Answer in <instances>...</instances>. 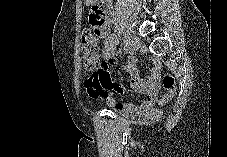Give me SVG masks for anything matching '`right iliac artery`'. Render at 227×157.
I'll return each instance as SVG.
<instances>
[{
	"mask_svg": "<svg viewBox=\"0 0 227 157\" xmlns=\"http://www.w3.org/2000/svg\"><path fill=\"white\" fill-rule=\"evenodd\" d=\"M128 43V42H127ZM126 53H131V48H130V46L128 45L126 48Z\"/></svg>",
	"mask_w": 227,
	"mask_h": 157,
	"instance_id": "1",
	"label": "right iliac artery"
}]
</instances>
